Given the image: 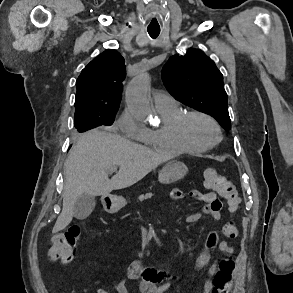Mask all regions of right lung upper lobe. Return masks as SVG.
Wrapping results in <instances>:
<instances>
[{
    "label": "right lung upper lobe",
    "mask_w": 293,
    "mask_h": 293,
    "mask_svg": "<svg viewBox=\"0 0 293 293\" xmlns=\"http://www.w3.org/2000/svg\"><path fill=\"white\" fill-rule=\"evenodd\" d=\"M125 60L113 49H107L92 60L81 72L77 82L76 111L111 113L118 109Z\"/></svg>",
    "instance_id": "1"
}]
</instances>
